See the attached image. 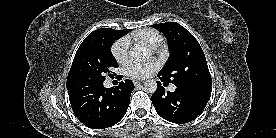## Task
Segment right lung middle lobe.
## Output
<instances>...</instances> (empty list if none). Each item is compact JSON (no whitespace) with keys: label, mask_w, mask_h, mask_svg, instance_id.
<instances>
[{"label":"right lung middle lobe","mask_w":276,"mask_h":138,"mask_svg":"<svg viewBox=\"0 0 276 138\" xmlns=\"http://www.w3.org/2000/svg\"><path fill=\"white\" fill-rule=\"evenodd\" d=\"M130 30L101 28L90 35L79 46L67 78L69 93L103 84L106 75L112 76L111 69L118 63L111 53L115 40Z\"/></svg>","instance_id":"1"}]
</instances>
